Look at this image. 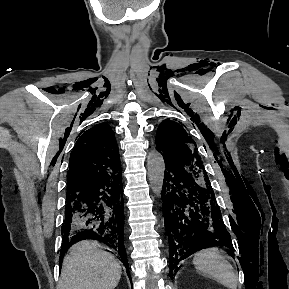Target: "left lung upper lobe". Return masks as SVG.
<instances>
[{
    "instance_id": "obj_1",
    "label": "left lung upper lobe",
    "mask_w": 289,
    "mask_h": 289,
    "mask_svg": "<svg viewBox=\"0 0 289 289\" xmlns=\"http://www.w3.org/2000/svg\"><path fill=\"white\" fill-rule=\"evenodd\" d=\"M196 143L178 123L162 121L157 129L156 149L162 151L165 163L187 170L195 178L210 184Z\"/></svg>"
}]
</instances>
